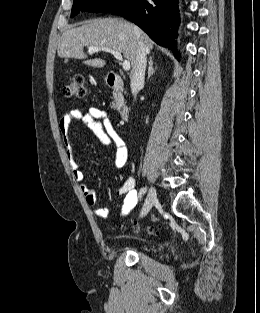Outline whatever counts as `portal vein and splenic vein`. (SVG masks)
<instances>
[{
	"instance_id": "portal-vein-and-splenic-vein-1",
	"label": "portal vein and splenic vein",
	"mask_w": 260,
	"mask_h": 313,
	"mask_svg": "<svg viewBox=\"0 0 260 313\" xmlns=\"http://www.w3.org/2000/svg\"><path fill=\"white\" fill-rule=\"evenodd\" d=\"M98 51H105L111 53L117 60L122 62V67L125 71L130 70V62L128 60H123V57L120 52L115 51L113 49L107 48V47H98V46H89L88 52L89 53H95Z\"/></svg>"
}]
</instances>
